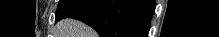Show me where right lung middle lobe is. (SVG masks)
Returning a JSON list of instances; mask_svg holds the SVG:
<instances>
[{"label": "right lung middle lobe", "instance_id": "dd1d6c3e", "mask_svg": "<svg viewBox=\"0 0 219 37\" xmlns=\"http://www.w3.org/2000/svg\"><path fill=\"white\" fill-rule=\"evenodd\" d=\"M73 0H60L58 7H57V12L56 15L63 9L65 8L67 5H69Z\"/></svg>", "mask_w": 219, "mask_h": 37}]
</instances>
